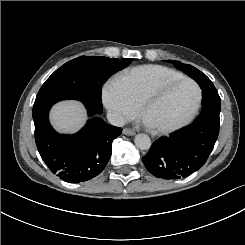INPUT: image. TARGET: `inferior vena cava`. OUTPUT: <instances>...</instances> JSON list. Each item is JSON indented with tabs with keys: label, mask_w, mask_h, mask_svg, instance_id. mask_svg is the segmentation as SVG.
<instances>
[{
	"label": "inferior vena cava",
	"mask_w": 245,
	"mask_h": 245,
	"mask_svg": "<svg viewBox=\"0 0 245 245\" xmlns=\"http://www.w3.org/2000/svg\"><path fill=\"white\" fill-rule=\"evenodd\" d=\"M107 119L114 126L121 127L125 125V119L123 115L118 111H113V110L108 111Z\"/></svg>",
	"instance_id": "602c4592"
}]
</instances>
